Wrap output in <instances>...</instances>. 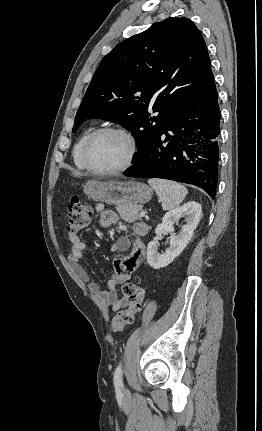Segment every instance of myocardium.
I'll use <instances>...</instances> for the list:
<instances>
[{
  "instance_id": "1",
  "label": "myocardium",
  "mask_w": 262,
  "mask_h": 431,
  "mask_svg": "<svg viewBox=\"0 0 262 431\" xmlns=\"http://www.w3.org/2000/svg\"><path fill=\"white\" fill-rule=\"evenodd\" d=\"M105 133L120 134L127 140L128 144H129L128 156H127L126 160L124 161V163L118 167L110 168V169H102V168L95 167L90 162L89 151H90V147H91L93 141L98 136L105 134ZM137 153H138V143H137V140H136L134 134L130 130H128L127 128L122 127V126H106V127H102L100 129H97L93 133H91V135L87 138V140L84 143L81 157H82V161H83L86 169L89 170L90 172H92L93 174L116 175V174L124 172L125 170H127L129 167L132 166V164L134 163V161L136 159Z\"/></svg>"
}]
</instances>
